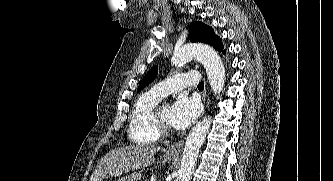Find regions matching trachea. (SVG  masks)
<instances>
[{"instance_id": "3493384b", "label": "trachea", "mask_w": 333, "mask_h": 181, "mask_svg": "<svg viewBox=\"0 0 333 181\" xmlns=\"http://www.w3.org/2000/svg\"><path fill=\"white\" fill-rule=\"evenodd\" d=\"M197 87H198L199 90H203L204 89V82H200Z\"/></svg>"}]
</instances>
